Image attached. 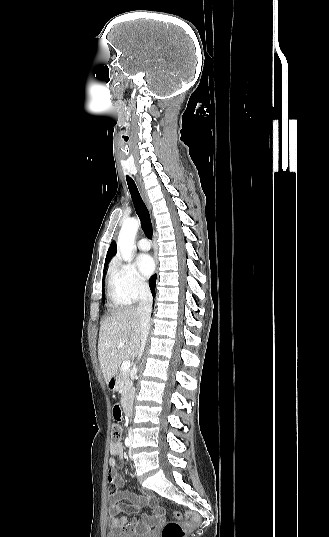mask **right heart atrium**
Returning <instances> with one entry per match:
<instances>
[{"instance_id": "obj_1", "label": "right heart atrium", "mask_w": 329, "mask_h": 537, "mask_svg": "<svg viewBox=\"0 0 329 537\" xmlns=\"http://www.w3.org/2000/svg\"><path fill=\"white\" fill-rule=\"evenodd\" d=\"M110 277L117 293L127 302L139 300L149 290L146 281L129 263H114L110 270Z\"/></svg>"}]
</instances>
